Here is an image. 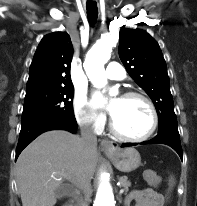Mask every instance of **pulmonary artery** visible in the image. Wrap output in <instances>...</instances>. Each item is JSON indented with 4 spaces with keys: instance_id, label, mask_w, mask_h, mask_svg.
<instances>
[{
    "instance_id": "obj_1",
    "label": "pulmonary artery",
    "mask_w": 197,
    "mask_h": 206,
    "mask_svg": "<svg viewBox=\"0 0 197 206\" xmlns=\"http://www.w3.org/2000/svg\"><path fill=\"white\" fill-rule=\"evenodd\" d=\"M106 77L111 80H121L125 77V70L121 64L110 62L106 68Z\"/></svg>"
}]
</instances>
